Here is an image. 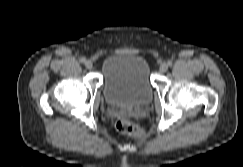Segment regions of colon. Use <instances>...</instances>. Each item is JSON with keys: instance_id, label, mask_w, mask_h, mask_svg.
I'll return each instance as SVG.
<instances>
[{"instance_id": "colon-1", "label": "colon", "mask_w": 243, "mask_h": 167, "mask_svg": "<svg viewBox=\"0 0 243 167\" xmlns=\"http://www.w3.org/2000/svg\"><path fill=\"white\" fill-rule=\"evenodd\" d=\"M116 129L125 134L141 136L142 130L128 118H121L116 122Z\"/></svg>"}]
</instances>
